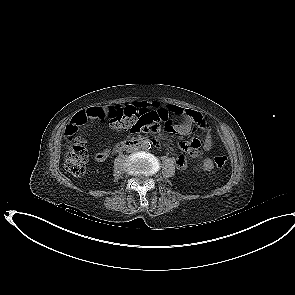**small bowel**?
<instances>
[{"instance_id": "c3829d8e", "label": "small bowel", "mask_w": 295, "mask_h": 295, "mask_svg": "<svg viewBox=\"0 0 295 295\" xmlns=\"http://www.w3.org/2000/svg\"><path fill=\"white\" fill-rule=\"evenodd\" d=\"M133 106L140 110L153 109L155 111L164 110L174 116H177L181 121L173 127V130L181 135L190 134L196 128H199L205 132L204 139L201 141L198 138H192L190 140H180L177 142V146L182 151L188 153L192 158L201 159L202 151H210L213 147V138L211 135L210 120L207 116L177 105H162L158 101H139ZM102 109L98 106L88 107L80 110L73 117L71 124L74 127H80L86 125L90 120L97 119L101 115ZM110 155L108 149L97 152L94 155V160L98 163L104 162ZM176 165L180 170H186L187 159L184 156H180ZM214 165L211 159L204 158L200 161V168L203 171H211Z\"/></svg>"}]
</instances>
